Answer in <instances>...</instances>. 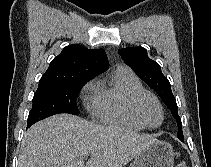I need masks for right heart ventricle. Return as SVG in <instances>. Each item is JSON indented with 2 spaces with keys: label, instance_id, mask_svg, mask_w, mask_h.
<instances>
[{
  "label": "right heart ventricle",
  "instance_id": "e07e8e85",
  "mask_svg": "<svg viewBox=\"0 0 211 167\" xmlns=\"http://www.w3.org/2000/svg\"><path fill=\"white\" fill-rule=\"evenodd\" d=\"M142 89L141 81L130 69L118 67L107 84L99 83L97 101L92 110L94 118L115 127L143 130L144 127L133 118L128 109L130 96Z\"/></svg>",
  "mask_w": 211,
  "mask_h": 167
}]
</instances>
